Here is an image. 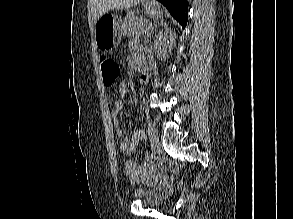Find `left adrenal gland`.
I'll list each match as a JSON object with an SVG mask.
<instances>
[{
    "label": "left adrenal gland",
    "instance_id": "obj_1",
    "mask_svg": "<svg viewBox=\"0 0 293 219\" xmlns=\"http://www.w3.org/2000/svg\"><path fill=\"white\" fill-rule=\"evenodd\" d=\"M159 25H164V26H166V23L164 22V20H161V23H156V24H155V27L152 28V29L147 33V36H146L147 39L150 37L151 33H152L154 30L157 29V27H158Z\"/></svg>",
    "mask_w": 293,
    "mask_h": 219
}]
</instances>
